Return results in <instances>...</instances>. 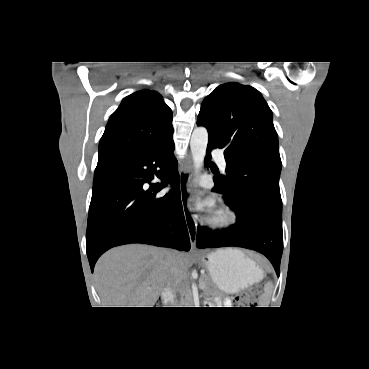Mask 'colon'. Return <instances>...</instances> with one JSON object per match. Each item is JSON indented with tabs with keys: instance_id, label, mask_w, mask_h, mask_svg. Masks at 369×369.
I'll return each instance as SVG.
<instances>
[{
	"instance_id": "colon-1",
	"label": "colon",
	"mask_w": 369,
	"mask_h": 369,
	"mask_svg": "<svg viewBox=\"0 0 369 369\" xmlns=\"http://www.w3.org/2000/svg\"><path fill=\"white\" fill-rule=\"evenodd\" d=\"M261 295V288L257 285L252 286L247 291L237 295L234 298V303L238 307H252L255 306L257 300Z\"/></svg>"
}]
</instances>
